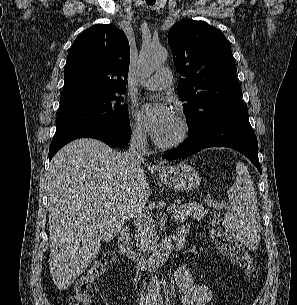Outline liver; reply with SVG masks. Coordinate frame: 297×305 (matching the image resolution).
Wrapping results in <instances>:
<instances>
[{
  "mask_svg": "<svg viewBox=\"0 0 297 305\" xmlns=\"http://www.w3.org/2000/svg\"><path fill=\"white\" fill-rule=\"evenodd\" d=\"M47 179L50 274L65 290L97 256L101 240H111L145 204L150 190L142 169L128 170L124 153L90 138L64 146Z\"/></svg>",
  "mask_w": 297,
  "mask_h": 305,
  "instance_id": "6515ba94",
  "label": "liver"
}]
</instances>
